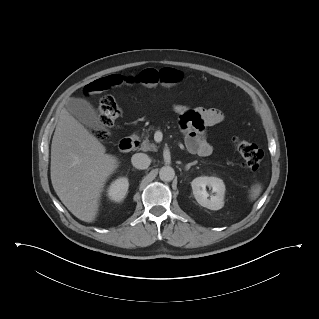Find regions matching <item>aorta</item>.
I'll return each instance as SVG.
<instances>
[{
    "label": "aorta",
    "instance_id": "762f6f07",
    "mask_svg": "<svg viewBox=\"0 0 319 319\" xmlns=\"http://www.w3.org/2000/svg\"><path fill=\"white\" fill-rule=\"evenodd\" d=\"M159 177L164 182H170L175 177V171L171 166H163L159 171Z\"/></svg>",
    "mask_w": 319,
    "mask_h": 319
}]
</instances>
